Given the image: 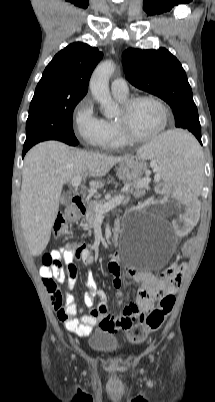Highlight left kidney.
<instances>
[{
	"mask_svg": "<svg viewBox=\"0 0 215 402\" xmlns=\"http://www.w3.org/2000/svg\"><path fill=\"white\" fill-rule=\"evenodd\" d=\"M158 191L175 219L173 226L178 231V239L186 240L188 233L195 231V222L200 221L201 202L195 200L193 193L182 191L179 184H159Z\"/></svg>",
	"mask_w": 215,
	"mask_h": 402,
	"instance_id": "1",
	"label": "left kidney"
}]
</instances>
